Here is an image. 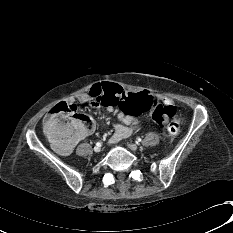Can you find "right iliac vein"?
Masks as SVG:
<instances>
[{"instance_id":"obj_1","label":"right iliac vein","mask_w":233,"mask_h":233,"mask_svg":"<svg viewBox=\"0 0 233 233\" xmlns=\"http://www.w3.org/2000/svg\"><path fill=\"white\" fill-rule=\"evenodd\" d=\"M100 150H101L100 147H98V146H95V147H94V151H95V152H100Z\"/></svg>"}]
</instances>
